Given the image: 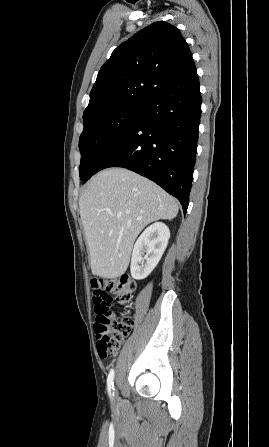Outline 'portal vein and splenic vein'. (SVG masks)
<instances>
[{
	"label": "portal vein and splenic vein",
	"mask_w": 269,
	"mask_h": 447,
	"mask_svg": "<svg viewBox=\"0 0 269 447\" xmlns=\"http://www.w3.org/2000/svg\"><path fill=\"white\" fill-rule=\"evenodd\" d=\"M117 218H121V216H117Z\"/></svg>",
	"instance_id": "18ae733b"
}]
</instances>
